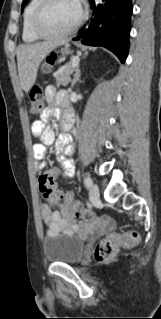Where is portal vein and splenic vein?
<instances>
[{"mask_svg": "<svg viewBox=\"0 0 161 319\" xmlns=\"http://www.w3.org/2000/svg\"><path fill=\"white\" fill-rule=\"evenodd\" d=\"M78 63H79V58L75 57L72 61V67L74 68L75 66H77Z\"/></svg>", "mask_w": 161, "mask_h": 319, "instance_id": "obj_1", "label": "portal vein and splenic vein"}]
</instances>
